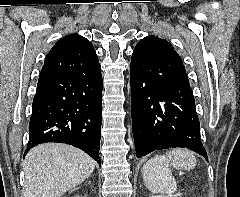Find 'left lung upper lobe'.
Segmentation results:
<instances>
[{
	"mask_svg": "<svg viewBox=\"0 0 240 197\" xmlns=\"http://www.w3.org/2000/svg\"><path fill=\"white\" fill-rule=\"evenodd\" d=\"M130 67L142 72H170L187 79L185 67L173 46L155 36H147L139 41L133 51Z\"/></svg>",
	"mask_w": 240,
	"mask_h": 197,
	"instance_id": "5c2ea615",
	"label": "left lung upper lobe"
}]
</instances>
